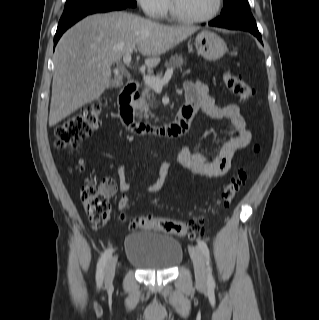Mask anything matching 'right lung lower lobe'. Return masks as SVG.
I'll return each mask as SVG.
<instances>
[{
    "instance_id": "98d812e1",
    "label": "right lung lower lobe",
    "mask_w": 319,
    "mask_h": 320,
    "mask_svg": "<svg viewBox=\"0 0 319 320\" xmlns=\"http://www.w3.org/2000/svg\"><path fill=\"white\" fill-rule=\"evenodd\" d=\"M126 7H129V6L123 5V4L98 6V7H94V8H91L89 10H86L84 12H81V13L73 16L72 18L66 20L65 22L59 23L57 31H56V34H55V37H54V48H55V45L57 44L59 38L61 37V35L69 27H71L73 24H75L77 21H79L80 19L84 18L85 16H87L89 14H93V13H99V12H109V11H113V10H122V9H124Z\"/></svg>"
}]
</instances>
